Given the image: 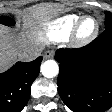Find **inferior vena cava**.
<instances>
[{"label":"inferior vena cava","instance_id":"inferior-vena-cava-1","mask_svg":"<svg viewBox=\"0 0 112 112\" xmlns=\"http://www.w3.org/2000/svg\"><path fill=\"white\" fill-rule=\"evenodd\" d=\"M38 48H27L19 53V59L25 62L33 61L39 56Z\"/></svg>","mask_w":112,"mask_h":112}]
</instances>
